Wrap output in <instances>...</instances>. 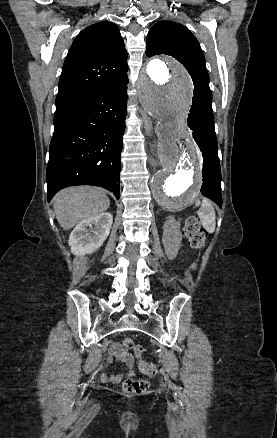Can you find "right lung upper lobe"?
<instances>
[{"instance_id": "1", "label": "right lung upper lobe", "mask_w": 277, "mask_h": 438, "mask_svg": "<svg viewBox=\"0 0 277 438\" xmlns=\"http://www.w3.org/2000/svg\"><path fill=\"white\" fill-rule=\"evenodd\" d=\"M114 64L98 72V65ZM127 51L116 24L99 22L82 30L65 59L56 107L121 79L127 74Z\"/></svg>"}]
</instances>
